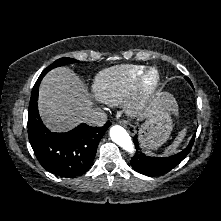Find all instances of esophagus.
I'll use <instances>...</instances> for the list:
<instances>
[{
    "instance_id": "obj_1",
    "label": "esophagus",
    "mask_w": 221,
    "mask_h": 221,
    "mask_svg": "<svg viewBox=\"0 0 221 221\" xmlns=\"http://www.w3.org/2000/svg\"><path fill=\"white\" fill-rule=\"evenodd\" d=\"M122 125L126 128V129H130L131 132H135L134 128L126 121L122 122Z\"/></svg>"
}]
</instances>
